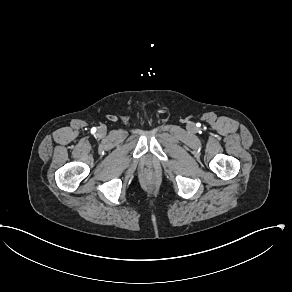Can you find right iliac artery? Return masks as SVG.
I'll return each instance as SVG.
<instances>
[{
  "mask_svg": "<svg viewBox=\"0 0 292 292\" xmlns=\"http://www.w3.org/2000/svg\"><path fill=\"white\" fill-rule=\"evenodd\" d=\"M95 131H96V128H93V129H92V132H95Z\"/></svg>",
  "mask_w": 292,
  "mask_h": 292,
  "instance_id": "82829eb1",
  "label": "right iliac artery"
}]
</instances>
